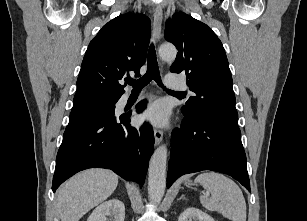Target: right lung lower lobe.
I'll return each instance as SVG.
<instances>
[{
	"label": "right lung lower lobe",
	"mask_w": 307,
	"mask_h": 221,
	"mask_svg": "<svg viewBox=\"0 0 307 221\" xmlns=\"http://www.w3.org/2000/svg\"><path fill=\"white\" fill-rule=\"evenodd\" d=\"M146 101L137 106L140 113ZM131 112L111 115L65 130L58 150L52 189L88 168L111 169L125 180L144 183L148 160L154 150V133L148 123L130 126Z\"/></svg>",
	"instance_id": "obj_1"
}]
</instances>
